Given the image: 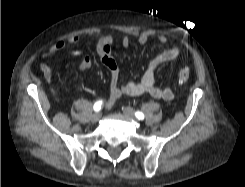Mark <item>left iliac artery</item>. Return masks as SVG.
<instances>
[{
  "label": "left iliac artery",
  "mask_w": 245,
  "mask_h": 187,
  "mask_svg": "<svg viewBox=\"0 0 245 187\" xmlns=\"http://www.w3.org/2000/svg\"><path fill=\"white\" fill-rule=\"evenodd\" d=\"M135 116L139 119V120H143L144 119V114L140 111H137L135 113Z\"/></svg>",
  "instance_id": "44dca946"
}]
</instances>
